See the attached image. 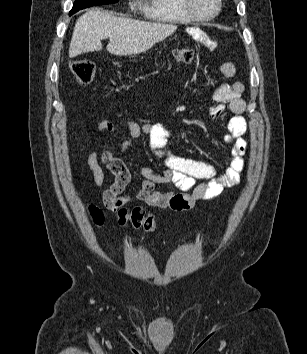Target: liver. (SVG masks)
I'll return each mask as SVG.
<instances>
[{
	"label": "liver",
	"instance_id": "1",
	"mask_svg": "<svg viewBox=\"0 0 307 354\" xmlns=\"http://www.w3.org/2000/svg\"><path fill=\"white\" fill-rule=\"evenodd\" d=\"M177 30L176 25L116 17L100 9L87 11L76 21L69 57L102 50L101 40L109 38L107 51L133 55L149 50Z\"/></svg>",
	"mask_w": 307,
	"mask_h": 354
}]
</instances>
